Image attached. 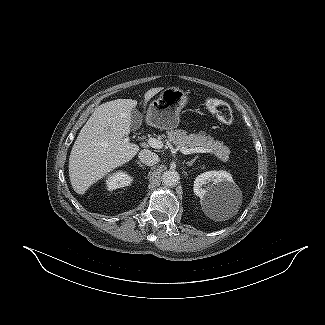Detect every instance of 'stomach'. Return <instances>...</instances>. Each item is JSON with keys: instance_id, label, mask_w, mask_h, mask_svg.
<instances>
[{"instance_id": "stomach-1", "label": "stomach", "mask_w": 325, "mask_h": 325, "mask_svg": "<svg viewBox=\"0 0 325 325\" xmlns=\"http://www.w3.org/2000/svg\"><path fill=\"white\" fill-rule=\"evenodd\" d=\"M187 101L188 96L182 89L166 88L159 98L150 103L146 114L147 123L162 130L176 128L179 124V113Z\"/></svg>"}]
</instances>
